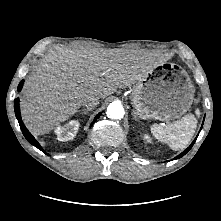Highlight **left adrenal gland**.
Here are the masks:
<instances>
[{
	"instance_id": "a2214340",
	"label": "left adrenal gland",
	"mask_w": 221,
	"mask_h": 221,
	"mask_svg": "<svg viewBox=\"0 0 221 221\" xmlns=\"http://www.w3.org/2000/svg\"><path fill=\"white\" fill-rule=\"evenodd\" d=\"M133 117L135 120H138L137 116L135 115V112H133Z\"/></svg>"
}]
</instances>
